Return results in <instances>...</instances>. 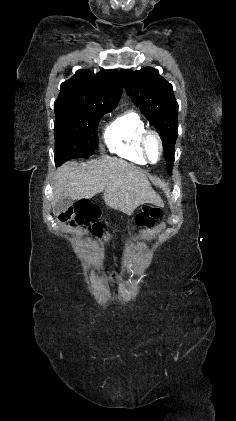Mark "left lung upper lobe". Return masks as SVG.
<instances>
[{"mask_svg": "<svg viewBox=\"0 0 236 421\" xmlns=\"http://www.w3.org/2000/svg\"><path fill=\"white\" fill-rule=\"evenodd\" d=\"M120 74L129 97L159 133L166 164L173 165L178 133V103L172 85L151 67L138 71L123 69Z\"/></svg>", "mask_w": 236, "mask_h": 421, "instance_id": "left-lung-upper-lobe-1", "label": "left lung upper lobe"}]
</instances>
